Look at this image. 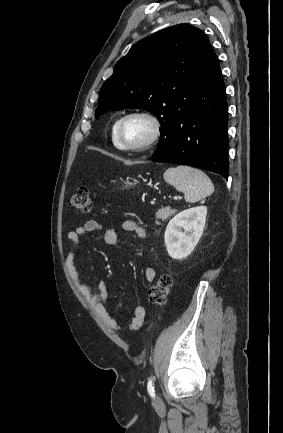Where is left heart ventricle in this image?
Returning <instances> with one entry per match:
<instances>
[{
	"instance_id": "obj_1",
	"label": "left heart ventricle",
	"mask_w": 283,
	"mask_h": 433,
	"mask_svg": "<svg viewBox=\"0 0 283 433\" xmlns=\"http://www.w3.org/2000/svg\"><path fill=\"white\" fill-rule=\"evenodd\" d=\"M152 132L151 123L143 117H132L126 120L121 130L124 144H138L145 141Z\"/></svg>"
}]
</instances>
